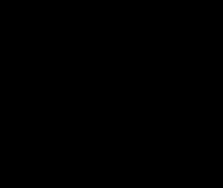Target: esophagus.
Returning a JSON list of instances; mask_svg holds the SVG:
<instances>
[{
	"instance_id": "34e87169",
	"label": "esophagus",
	"mask_w": 223,
	"mask_h": 188,
	"mask_svg": "<svg viewBox=\"0 0 223 188\" xmlns=\"http://www.w3.org/2000/svg\"><path fill=\"white\" fill-rule=\"evenodd\" d=\"M119 97V95L118 94H116V98H118Z\"/></svg>"
}]
</instances>
